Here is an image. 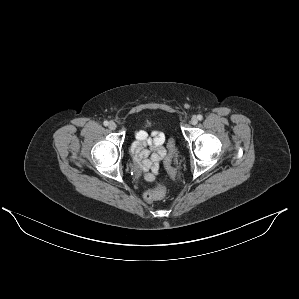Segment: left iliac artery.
<instances>
[{
    "mask_svg": "<svg viewBox=\"0 0 299 299\" xmlns=\"http://www.w3.org/2000/svg\"><path fill=\"white\" fill-rule=\"evenodd\" d=\"M197 118H198L199 120H202V119H203V116L199 114V115L197 116Z\"/></svg>",
    "mask_w": 299,
    "mask_h": 299,
    "instance_id": "1",
    "label": "left iliac artery"
}]
</instances>
